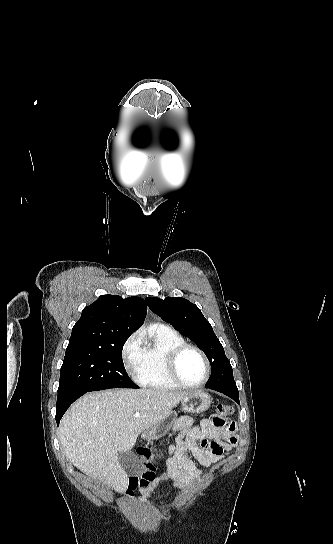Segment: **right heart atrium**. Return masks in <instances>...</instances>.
Listing matches in <instances>:
<instances>
[{
  "label": "right heart atrium",
  "mask_w": 333,
  "mask_h": 544,
  "mask_svg": "<svg viewBox=\"0 0 333 544\" xmlns=\"http://www.w3.org/2000/svg\"><path fill=\"white\" fill-rule=\"evenodd\" d=\"M141 356V337L138 332L131 334L121 349V358L126 372L136 377Z\"/></svg>",
  "instance_id": "right-heart-atrium-1"
}]
</instances>
